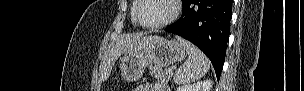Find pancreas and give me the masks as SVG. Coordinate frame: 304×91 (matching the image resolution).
<instances>
[{
  "label": "pancreas",
  "instance_id": "pancreas-1",
  "mask_svg": "<svg viewBox=\"0 0 304 91\" xmlns=\"http://www.w3.org/2000/svg\"><path fill=\"white\" fill-rule=\"evenodd\" d=\"M150 71L151 76L160 82H168L172 77V73L168 70L164 71L163 69L152 67Z\"/></svg>",
  "mask_w": 304,
  "mask_h": 91
}]
</instances>
